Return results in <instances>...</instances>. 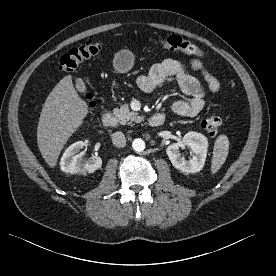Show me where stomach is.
<instances>
[{
  "label": "stomach",
  "mask_w": 276,
  "mask_h": 276,
  "mask_svg": "<svg viewBox=\"0 0 276 276\" xmlns=\"http://www.w3.org/2000/svg\"><path fill=\"white\" fill-rule=\"evenodd\" d=\"M134 65V56L131 51L122 49L115 54L113 67L118 72H128Z\"/></svg>",
  "instance_id": "obj_1"
}]
</instances>
